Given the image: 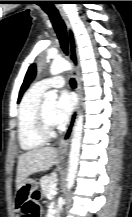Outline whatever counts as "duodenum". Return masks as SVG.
Segmentation results:
<instances>
[{
  "mask_svg": "<svg viewBox=\"0 0 132 217\" xmlns=\"http://www.w3.org/2000/svg\"><path fill=\"white\" fill-rule=\"evenodd\" d=\"M50 217H58L55 213L51 214Z\"/></svg>",
  "mask_w": 132,
  "mask_h": 217,
  "instance_id": "410a0bca",
  "label": "duodenum"
}]
</instances>
